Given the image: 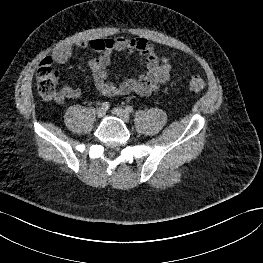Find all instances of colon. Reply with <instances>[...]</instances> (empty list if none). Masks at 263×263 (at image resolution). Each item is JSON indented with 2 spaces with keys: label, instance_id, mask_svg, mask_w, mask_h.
Here are the masks:
<instances>
[{
  "label": "colon",
  "instance_id": "1",
  "mask_svg": "<svg viewBox=\"0 0 263 263\" xmlns=\"http://www.w3.org/2000/svg\"><path fill=\"white\" fill-rule=\"evenodd\" d=\"M57 81L58 72L52 66V59L50 57L44 58L36 71V84L40 96L45 99L54 98ZM188 86L192 92L197 93L203 90L205 82L200 76L193 75L189 78Z\"/></svg>",
  "mask_w": 263,
  "mask_h": 263
}]
</instances>
